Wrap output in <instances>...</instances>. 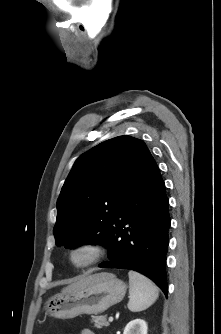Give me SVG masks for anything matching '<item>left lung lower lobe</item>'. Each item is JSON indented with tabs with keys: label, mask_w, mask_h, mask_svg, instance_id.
<instances>
[{
	"label": "left lung lower lobe",
	"mask_w": 221,
	"mask_h": 334,
	"mask_svg": "<svg viewBox=\"0 0 221 334\" xmlns=\"http://www.w3.org/2000/svg\"><path fill=\"white\" fill-rule=\"evenodd\" d=\"M168 207L165 184L154 161L115 217L107 246L110 261L99 267L135 270L154 281L167 296Z\"/></svg>",
	"instance_id": "1"
}]
</instances>
